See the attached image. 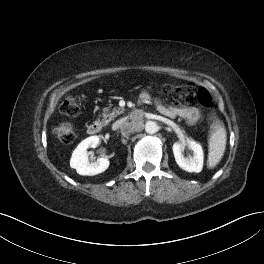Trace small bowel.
Segmentation results:
<instances>
[{
    "instance_id": "small-bowel-1",
    "label": "small bowel",
    "mask_w": 264,
    "mask_h": 264,
    "mask_svg": "<svg viewBox=\"0 0 264 264\" xmlns=\"http://www.w3.org/2000/svg\"><path fill=\"white\" fill-rule=\"evenodd\" d=\"M143 99H150L147 92L142 93ZM158 110L168 117H181L189 123H196L201 118V112L198 108L192 106L166 105L157 101Z\"/></svg>"
}]
</instances>
